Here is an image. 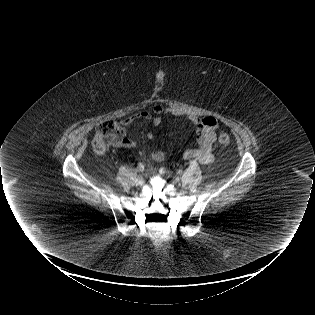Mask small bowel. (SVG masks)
<instances>
[{
    "instance_id": "c3829d8e",
    "label": "small bowel",
    "mask_w": 315,
    "mask_h": 315,
    "mask_svg": "<svg viewBox=\"0 0 315 315\" xmlns=\"http://www.w3.org/2000/svg\"><path fill=\"white\" fill-rule=\"evenodd\" d=\"M183 116L184 114L177 109L167 108L163 105H155L151 111L137 112L121 121L122 126H128L138 120H148L154 127H158L162 123L164 115ZM189 120L196 126V147L186 149L182 153V158L185 160H197L203 164H209L213 161L212 147L216 140V130L218 129V122L213 117L199 118L195 115H190ZM148 140H153L155 135L153 132L146 134ZM135 145V142L126 139L120 146L130 148ZM151 158L155 162H163L170 156L161 150L151 149Z\"/></svg>"
}]
</instances>
